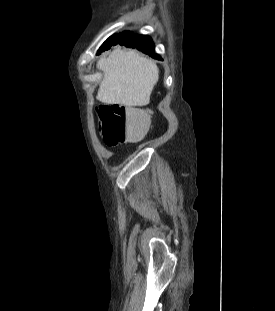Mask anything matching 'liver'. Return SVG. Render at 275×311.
Listing matches in <instances>:
<instances>
[{
	"label": "liver",
	"instance_id": "liver-1",
	"mask_svg": "<svg viewBox=\"0 0 275 311\" xmlns=\"http://www.w3.org/2000/svg\"><path fill=\"white\" fill-rule=\"evenodd\" d=\"M103 71L97 97L104 104L128 107L144 106L159 79V69L152 60L137 51L116 49L98 61Z\"/></svg>",
	"mask_w": 275,
	"mask_h": 311
}]
</instances>
